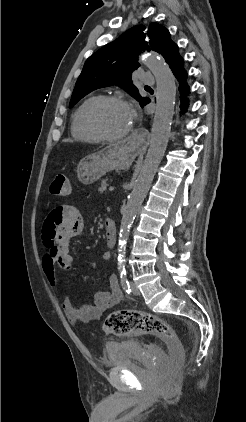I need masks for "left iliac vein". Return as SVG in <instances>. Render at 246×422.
Returning a JSON list of instances; mask_svg holds the SVG:
<instances>
[{
  "label": "left iliac vein",
  "instance_id": "left-iliac-vein-1",
  "mask_svg": "<svg viewBox=\"0 0 246 422\" xmlns=\"http://www.w3.org/2000/svg\"><path fill=\"white\" fill-rule=\"evenodd\" d=\"M131 291L134 295H140V291L134 282H131Z\"/></svg>",
  "mask_w": 246,
  "mask_h": 422
}]
</instances>
